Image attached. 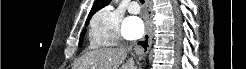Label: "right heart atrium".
<instances>
[{"instance_id":"1","label":"right heart atrium","mask_w":246,"mask_h":69,"mask_svg":"<svg viewBox=\"0 0 246 69\" xmlns=\"http://www.w3.org/2000/svg\"><path fill=\"white\" fill-rule=\"evenodd\" d=\"M121 16L112 8L104 7L92 18L89 42L93 48L115 46L121 40Z\"/></svg>"}]
</instances>
